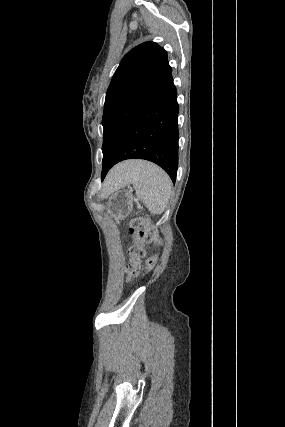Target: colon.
Masks as SVG:
<instances>
[{
  "mask_svg": "<svg viewBox=\"0 0 285 427\" xmlns=\"http://www.w3.org/2000/svg\"><path fill=\"white\" fill-rule=\"evenodd\" d=\"M129 230L132 234L136 235L135 244L130 248V252L134 257H141L143 255L144 244L160 245L156 230L150 226L147 218H135L130 222ZM156 258L152 257L147 261V268L151 269L156 264ZM138 263L136 260L132 261L127 268L129 278L135 277L138 274Z\"/></svg>",
  "mask_w": 285,
  "mask_h": 427,
  "instance_id": "1",
  "label": "colon"
}]
</instances>
